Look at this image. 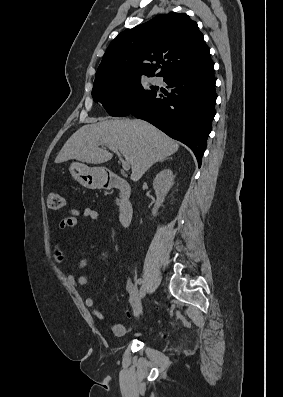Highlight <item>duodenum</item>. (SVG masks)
I'll return each instance as SVG.
<instances>
[{
	"label": "duodenum",
	"instance_id": "410a0bca",
	"mask_svg": "<svg viewBox=\"0 0 283 397\" xmlns=\"http://www.w3.org/2000/svg\"><path fill=\"white\" fill-rule=\"evenodd\" d=\"M104 186L107 189H116L122 193L118 218L122 226H129L133 220L134 208L129 199L130 187L128 183L117 175H110L107 177Z\"/></svg>",
	"mask_w": 283,
	"mask_h": 397
}]
</instances>
